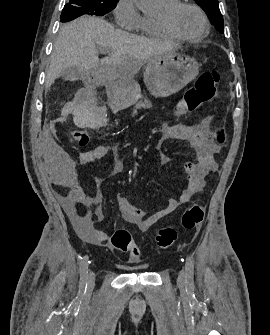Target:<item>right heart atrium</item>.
Wrapping results in <instances>:
<instances>
[{
    "mask_svg": "<svg viewBox=\"0 0 270 335\" xmlns=\"http://www.w3.org/2000/svg\"><path fill=\"white\" fill-rule=\"evenodd\" d=\"M116 23L124 29L135 30L141 20L135 0H119L114 9Z\"/></svg>",
    "mask_w": 270,
    "mask_h": 335,
    "instance_id": "obj_1",
    "label": "right heart atrium"
}]
</instances>
